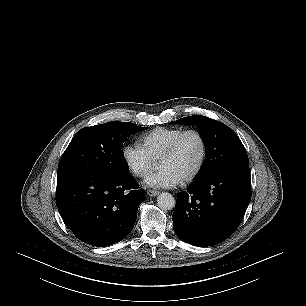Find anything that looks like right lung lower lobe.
<instances>
[{
	"label": "right lung lower lobe",
	"mask_w": 306,
	"mask_h": 306,
	"mask_svg": "<svg viewBox=\"0 0 306 306\" xmlns=\"http://www.w3.org/2000/svg\"><path fill=\"white\" fill-rule=\"evenodd\" d=\"M130 174L86 172L57 182L56 205L81 241L98 247L124 239L133 229L145 191Z\"/></svg>",
	"instance_id": "98d812e1"
}]
</instances>
